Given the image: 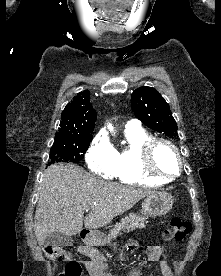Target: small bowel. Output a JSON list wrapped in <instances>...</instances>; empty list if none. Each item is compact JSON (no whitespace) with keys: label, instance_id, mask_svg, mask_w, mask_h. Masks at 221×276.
I'll list each match as a JSON object with an SVG mask.
<instances>
[{"label":"small bowel","instance_id":"small-bowel-1","mask_svg":"<svg viewBox=\"0 0 221 276\" xmlns=\"http://www.w3.org/2000/svg\"><path fill=\"white\" fill-rule=\"evenodd\" d=\"M131 246H137L136 242H131ZM163 247L158 245L149 246L144 252L146 263L159 262L160 270L163 276H174L168 262L162 259ZM80 252L87 257L84 265L90 276H142L145 265L133 267L120 275H114L109 270L107 259L93 248H81Z\"/></svg>","mask_w":221,"mask_h":276}]
</instances>
